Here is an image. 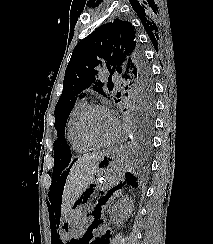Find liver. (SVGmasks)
Here are the masks:
<instances>
[{
  "mask_svg": "<svg viewBox=\"0 0 213 244\" xmlns=\"http://www.w3.org/2000/svg\"><path fill=\"white\" fill-rule=\"evenodd\" d=\"M105 152L85 154L73 164L65 182L62 195L61 215L66 217L73 203L93 181V176Z\"/></svg>",
  "mask_w": 213,
  "mask_h": 244,
  "instance_id": "obj_1",
  "label": "liver"
}]
</instances>
